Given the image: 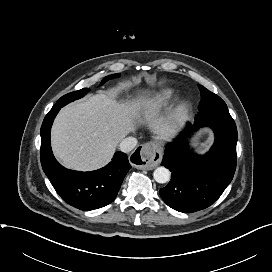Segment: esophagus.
<instances>
[{
	"instance_id": "1",
	"label": "esophagus",
	"mask_w": 272,
	"mask_h": 272,
	"mask_svg": "<svg viewBox=\"0 0 272 272\" xmlns=\"http://www.w3.org/2000/svg\"><path fill=\"white\" fill-rule=\"evenodd\" d=\"M140 150H136L131 156V162L135 167L143 170H152L159 165L162 159V151L155 143L143 144Z\"/></svg>"
}]
</instances>
